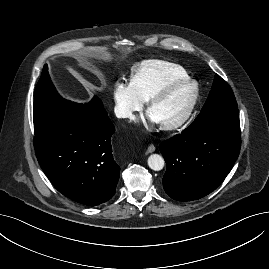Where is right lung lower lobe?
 <instances>
[{"label": "right lung lower lobe", "instance_id": "right-lung-lower-lobe-1", "mask_svg": "<svg viewBox=\"0 0 269 269\" xmlns=\"http://www.w3.org/2000/svg\"><path fill=\"white\" fill-rule=\"evenodd\" d=\"M114 131L106 112L81 105L66 120L35 135L36 157L60 193L96 206L112 198L119 180L110 140Z\"/></svg>", "mask_w": 269, "mask_h": 269}]
</instances>
